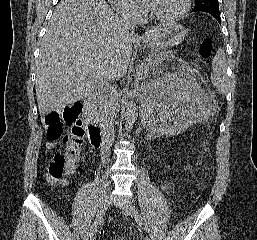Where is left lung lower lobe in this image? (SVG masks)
<instances>
[{
	"label": "left lung lower lobe",
	"instance_id": "left-lung-lower-lobe-1",
	"mask_svg": "<svg viewBox=\"0 0 257 240\" xmlns=\"http://www.w3.org/2000/svg\"><path fill=\"white\" fill-rule=\"evenodd\" d=\"M211 14L220 24H221V18L219 14L213 13V12H207Z\"/></svg>",
	"mask_w": 257,
	"mask_h": 240
}]
</instances>
